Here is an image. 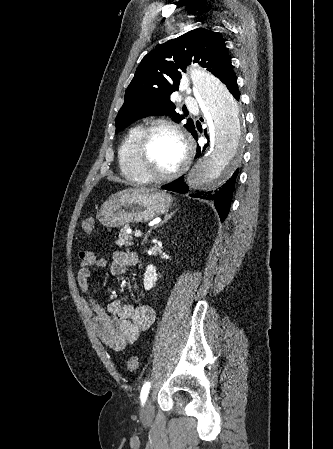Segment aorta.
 <instances>
[{
    "label": "aorta",
    "instance_id": "aorta-1",
    "mask_svg": "<svg viewBox=\"0 0 333 449\" xmlns=\"http://www.w3.org/2000/svg\"><path fill=\"white\" fill-rule=\"evenodd\" d=\"M194 94L211 122V149L202 154L187 174V184L195 191L218 189L236 164L243 144L242 115L229 90L201 67L190 69Z\"/></svg>",
    "mask_w": 333,
    "mask_h": 449
}]
</instances>
